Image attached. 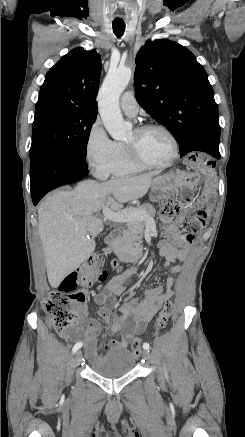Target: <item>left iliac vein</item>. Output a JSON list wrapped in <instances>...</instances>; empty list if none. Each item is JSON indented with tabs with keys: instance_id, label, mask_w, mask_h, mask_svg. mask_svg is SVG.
<instances>
[{
	"instance_id": "left-iliac-vein-1",
	"label": "left iliac vein",
	"mask_w": 245,
	"mask_h": 437,
	"mask_svg": "<svg viewBox=\"0 0 245 437\" xmlns=\"http://www.w3.org/2000/svg\"><path fill=\"white\" fill-rule=\"evenodd\" d=\"M143 358H144L146 361H150L151 356H150V354H149V352H148L147 350H144V352H143Z\"/></svg>"
}]
</instances>
